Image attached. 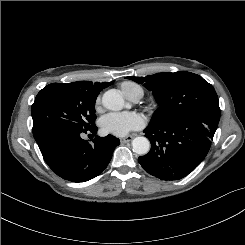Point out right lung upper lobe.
Here are the masks:
<instances>
[{
    "label": "right lung upper lobe",
    "mask_w": 245,
    "mask_h": 245,
    "mask_svg": "<svg viewBox=\"0 0 245 245\" xmlns=\"http://www.w3.org/2000/svg\"><path fill=\"white\" fill-rule=\"evenodd\" d=\"M112 82H103V83H98L96 82L95 84H93V82L91 81H78V82H74L75 85L82 87L86 90L92 91V92H96V93H100V91H102L104 88L110 86Z\"/></svg>",
    "instance_id": "cb5924a9"
}]
</instances>
